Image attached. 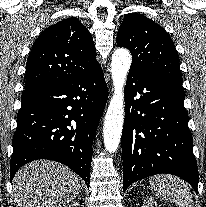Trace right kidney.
Returning a JSON list of instances; mask_svg holds the SVG:
<instances>
[{"mask_svg":"<svg viewBox=\"0 0 206 207\" xmlns=\"http://www.w3.org/2000/svg\"><path fill=\"white\" fill-rule=\"evenodd\" d=\"M66 207H77V203L73 202L70 205L66 206Z\"/></svg>","mask_w":206,"mask_h":207,"instance_id":"ca27d5eb","label":"right kidney"}]
</instances>
